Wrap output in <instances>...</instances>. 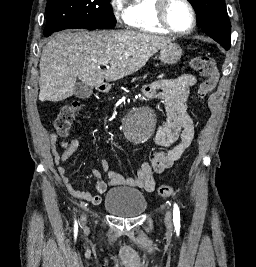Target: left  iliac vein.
Listing matches in <instances>:
<instances>
[{"instance_id": "4c4485c4", "label": "left iliac vein", "mask_w": 256, "mask_h": 267, "mask_svg": "<svg viewBox=\"0 0 256 267\" xmlns=\"http://www.w3.org/2000/svg\"><path fill=\"white\" fill-rule=\"evenodd\" d=\"M165 225L167 226V228H171L172 227V215L170 211L166 212L165 218Z\"/></svg>"}]
</instances>
